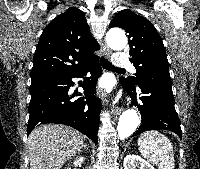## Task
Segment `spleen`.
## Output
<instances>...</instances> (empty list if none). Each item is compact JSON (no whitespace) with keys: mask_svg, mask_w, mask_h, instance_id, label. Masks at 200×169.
I'll return each instance as SVG.
<instances>
[{"mask_svg":"<svg viewBox=\"0 0 200 169\" xmlns=\"http://www.w3.org/2000/svg\"><path fill=\"white\" fill-rule=\"evenodd\" d=\"M140 153L158 166V169H174V152L170 140L155 130H149L138 138Z\"/></svg>","mask_w":200,"mask_h":169,"instance_id":"obj_1","label":"spleen"}]
</instances>
